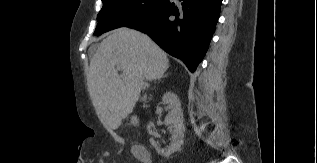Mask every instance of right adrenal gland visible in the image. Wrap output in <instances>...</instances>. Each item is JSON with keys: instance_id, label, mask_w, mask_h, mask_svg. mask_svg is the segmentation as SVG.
I'll list each match as a JSON object with an SVG mask.
<instances>
[{"instance_id": "2a0ac1e0", "label": "right adrenal gland", "mask_w": 317, "mask_h": 163, "mask_svg": "<svg viewBox=\"0 0 317 163\" xmlns=\"http://www.w3.org/2000/svg\"><path fill=\"white\" fill-rule=\"evenodd\" d=\"M167 76V74H165L163 77H166ZM161 78H159L158 80H160ZM147 87H149V85H147Z\"/></svg>"}]
</instances>
